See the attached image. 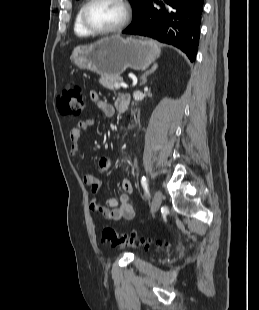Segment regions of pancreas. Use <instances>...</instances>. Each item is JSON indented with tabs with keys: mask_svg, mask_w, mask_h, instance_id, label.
Listing matches in <instances>:
<instances>
[{
	"mask_svg": "<svg viewBox=\"0 0 259 310\" xmlns=\"http://www.w3.org/2000/svg\"><path fill=\"white\" fill-rule=\"evenodd\" d=\"M122 78L120 76H104L100 79V83L103 87L109 90H115V83L121 81Z\"/></svg>",
	"mask_w": 259,
	"mask_h": 310,
	"instance_id": "obj_1",
	"label": "pancreas"
}]
</instances>
